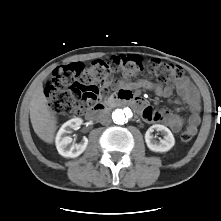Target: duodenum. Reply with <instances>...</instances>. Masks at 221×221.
Segmentation results:
<instances>
[{
  "label": "duodenum",
  "instance_id": "1",
  "mask_svg": "<svg viewBox=\"0 0 221 221\" xmlns=\"http://www.w3.org/2000/svg\"><path fill=\"white\" fill-rule=\"evenodd\" d=\"M117 102H128L132 106L141 109L144 100L134 98L130 91L128 90H120L116 93H114L107 101L104 102H96L91 107L86 108L83 111V115L89 119L92 120L96 118L98 113L107 110L111 105L117 103Z\"/></svg>",
  "mask_w": 221,
  "mask_h": 221
}]
</instances>
